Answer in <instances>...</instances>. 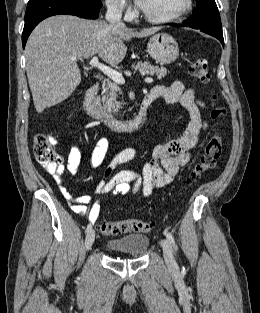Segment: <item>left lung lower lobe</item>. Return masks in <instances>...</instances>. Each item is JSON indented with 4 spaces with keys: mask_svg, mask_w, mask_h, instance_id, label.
Instances as JSON below:
<instances>
[{
    "mask_svg": "<svg viewBox=\"0 0 260 313\" xmlns=\"http://www.w3.org/2000/svg\"><path fill=\"white\" fill-rule=\"evenodd\" d=\"M173 26H182V25H180V24H173ZM189 26L192 27L191 25H189ZM205 33L210 34V35L216 37L222 43V45H224L223 34H217V33H212V32H205Z\"/></svg>",
    "mask_w": 260,
    "mask_h": 313,
    "instance_id": "left-lung-lower-lobe-1",
    "label": "left lung lower lobe"
}]
</instances>
